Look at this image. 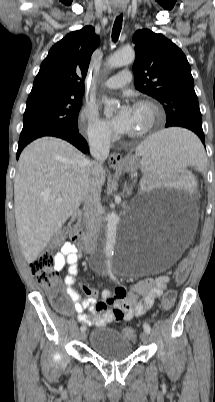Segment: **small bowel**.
<instances>
[{
    "mask_svg": "<svg viewBox=\"0 0 215 402\" xmlns=\"http://www.w3.org/2000/svg\"><path fill=\"white\" fill-rule=\"evenodd\" d=\"M79 258L78 248L66 242L55 256V269L60 271L68 265L64 278L66 291L78 321L83 324L104 327L112 322L130 321L139 317L163 294L169 281L167 276H160L139 280L132 283L128 289L118 287L114 292L105 289L101 300L98 301L95 288L84 284L78 285V289L75 288Z\"/></svg>",
    "mask_w": 215,
    "mask_h": 402,
    "instance_id": "small-bowel-1",
    "label": "small bowel"
}]
</instances>
